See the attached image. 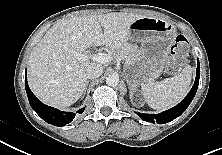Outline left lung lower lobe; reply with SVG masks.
<instances>
[{
  "mask_svg": "<svg viewBox=\"0 0 222 155\" xmlns=\"http://www.w3.org/2000/svg\"><path fill=\"white\" fill-rule=\"evenodd\" d=\"M197 63H198V66L196 70V79L194 82V86L192 87L188 95L178 105H176L175 107L167 111H163L159 114H144V113H137V112L136 114L140 118H142L144 121L157 123V124L168 123L174 120L175 118L179 117L190 105L192 99L194 98L196 94L198 84H199V78H200L199 60L197 61Z\"/></svg>",
  "mask_w": 222,
  "mask_h": 155,
  "instance_id": "1",
  "label": "left lung lower lobe"
}]
</instances>
